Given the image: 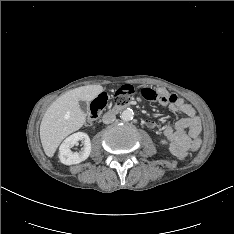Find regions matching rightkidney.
Returning <instances> with one entry per match:
<instances>
[{"instance_id":"ca27d5eb","label":"right kidney","mask_w":234,"mask_h":234,"mask_svg":"<svg viewBox=\"0 0 234 234\" xmlns=\"http://www.w3.org/2000/svg\"><path fill=\"white\" fill-rule=\"evenodd\" d=\"M82 141L83 148L79 152H72L71 147ZM91 152L89 136L84 132H77L67 137L59 147V159L65 165L79 164L86 160Z\"/></svg>"}]
</instances>
